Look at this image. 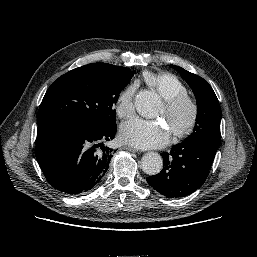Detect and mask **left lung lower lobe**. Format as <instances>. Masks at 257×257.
<instances>
[{"label": "left lung lower lobe", "instance_id": "obj_1", "mask_svg": "<svg viewBox=\"0 0 257 257\" xmlns=\"http://www.w3.org/2000/svg\"><path fill=\"white\" fill-rule=\"evenodd\" d=\"M219 145L204 140H185L164 152L163 169L147 182L170 198L190 195L205 182Z\"/></svg>", "mask_w": 257, "mask_h": 257}]
</instances>
